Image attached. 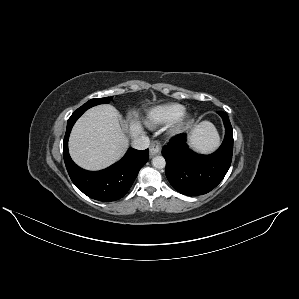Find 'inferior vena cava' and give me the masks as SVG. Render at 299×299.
<instances>
[{
    "label": "inferior vena cava",
    "instance_id": "602c4592",
    "mask_svg": "<svg viewBox=\"0 0 299 299\" xmlns=\"http://www.w3.org/2000/svg\"><path fill=\"white\" fill-rule=\"evenodd\" d=\"M131 144L135 149L144 150L149 147L150 140L145 135H139L133 138Z\"/></svg>",
    "mask_w": 299,
    "mask_h": 299
}]
</instances>
